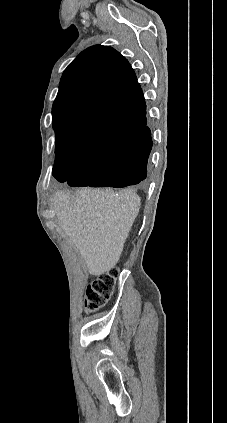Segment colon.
<instances>
[{
  "instance_id": "colon-1",
  "label": "colon",
  "mask_w": 227,
  "mask_h": 423,
  "mask_svg": "<svg viewBox=\"0 0 227 423\" xmlns=\"http://www.w3.org/2000/svg\"><path fill=\"white\" fill-rule=\"evenodd\" d=\"M117 274V268H112L89 283L84 299V306L88 312L96 311L106 304L112 295Z\"/></svg>"
}]
</instances>
